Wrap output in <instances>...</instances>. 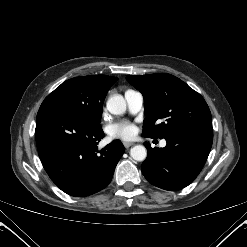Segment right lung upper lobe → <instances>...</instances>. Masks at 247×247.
Returning <instances> with one entry per match:
<instances>
[{
	"label": "right lung upper lobe",
	"instance_id": "1",
	"mask_svg": "<svg viewBox=\"0 0 247 247\" xmlns=\"http://www.w3.org/2000/svg\"><path fill=\"white\" fill-rule=\"evenodd\" d=\"M95 81H97L107 93L110 87L118 80L117 77H110L105 75H91Z\"/></svg>",
	"mask_w": 247,
	"mask_h": 247
}]
</instances>
